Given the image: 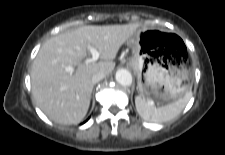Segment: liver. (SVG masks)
<instances>
[{"label": "liver", "mask_w": 225, "mask_h": 155, "mask_svg": "<svg viewBox=\"0 0 225 155\" xmlns=\"http://www.w3.org/2000/svg\"><path fill=\"white\" fill-rule=\"evenodd\" d=\"M140 29L138 24L82 26L56 35L40 48L31 69L32 95L51 120L76 124L86 116L98 72L110 74L120 47ZM100 52L101 61L87 63L89 48ZM73 72H67L66 67Z\"/></svg>", "instance_id": "6515ba94"}]
</instances>
